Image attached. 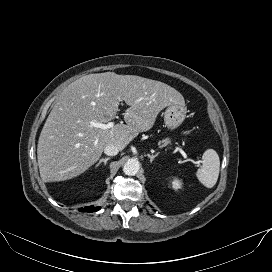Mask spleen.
Returning <instances> with one entry per match:
<instances>
[{"instance_id": "3e777b00", "label": "spleen", "mask_w": 272, "mask_h": 272, "mask_svg": "<svg viewBox=\"0 0 272 272\" xmlns=\"http://www.w3.org/2000/svg\"><path fill=\"white\" fill-rule=\"evenodd\" d=\"M203 164L196 172L198 180L207 188H212L218 179L220 160L217 152L207 149L202 156Z\"/></svg>"}]
</instances>
